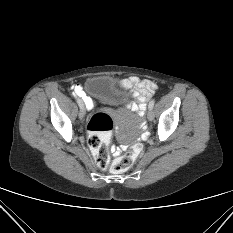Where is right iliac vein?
Here are the masks:
<instances>
[{"mask_svg":"<svg viewBox=\"0 0 233 233\" xmlns=\"http://www.w3.org/2000/svg\"><path fill=\"white\" fill-rule=\"evenodd\" d=\"M77 103L79 105V118L83 119L85 116V107H84V103L81 99H77Z\"/></svg>","mask_w":233,"mask_h":233,"instance_id":"63e3f726","label":"right iliac vein"}]
</instances>
